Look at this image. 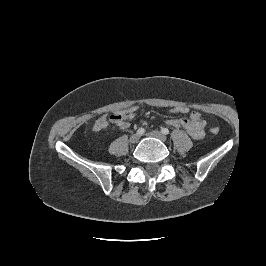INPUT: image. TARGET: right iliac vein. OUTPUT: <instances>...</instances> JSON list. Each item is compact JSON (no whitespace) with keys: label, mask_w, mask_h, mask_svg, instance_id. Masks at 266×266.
Wrapping results in <instances>:
<instances>
[{"label":"right iliac vein","mask_w":266,"mask_h":266,"mask_svg":"<svg viewBox=\"0 0 266 266\" xmlns=\"http://www.w3.org/2000/svg\"><path fill=\"white\" fill-rule=\"evenodd\" d=\"M139 138H140V135H138L136 133V134H133L130 136L129 141H130V143L134 144V143L138 142Z\"/></svg>","instance_id":"obj_1"}]
</instances>
